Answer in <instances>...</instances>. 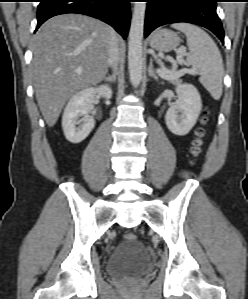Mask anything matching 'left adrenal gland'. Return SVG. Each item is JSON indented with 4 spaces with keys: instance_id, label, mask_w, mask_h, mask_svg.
Returning a JSON list of instances; mask_svg holds the SVG:
<instances>
[{
    "instance_id": "obj_1",
    "label": "left adrenal gland",
    "mask_w": 248,
    "mask_h": 299,
    "mask_svg": "<svg viewBox=\"0 0 248 299\" xmlns=\"http://www.w3.org/2000/svg\"><path fill=\"white\" fill-rule=\"evenodd\" d=\"M148 75L150 77H153L156 80L158 79V76L153 68V60L152 59H150V63H149V67H148Z\"/></svg>"
}]
</instances>
